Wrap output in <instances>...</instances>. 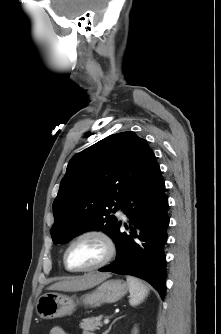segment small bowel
I'll return each mask as SVG.
<instances>
[{
    "instance_id": "obj_1",
    "label": "small bowel",
    "mask_w": 221,
    "mask_h": 334,
    "mask_svg": "<svg viewBox=\"0 0 221 334\" xmlns=\"http://www.w3.org/2000/svg\"><path fill=\"white\" fill-rule=\"evenodd\" d=\"M49 334H68V333L60 326H53L50 329ZM82 334H94V333L85 331Z\"/></svg>"
}]
</instances>
